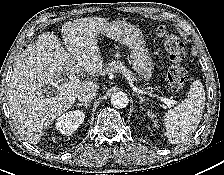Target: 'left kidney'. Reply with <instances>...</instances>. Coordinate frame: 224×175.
<instances>
[{"mask_svg": "<svg viewBox=\"0 0 224 175\" xmlns=\"http://www.w3.org/2000/svg\"><path fill=\"white\" fill-rule=\"evenodd\" d=\"M147 115L152 119L155 118V114H153L151 110H147ZM154 124H155V126H157L156 120L154 121Z\"/></svg>", "mask_w": 224, "mask_h": 175, "instance_id": "1", "label": "left kidney"}]
</instances>
